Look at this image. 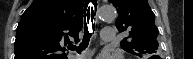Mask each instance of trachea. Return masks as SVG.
<instances>
[{"label":"trachea","mask_w":193,"mask_h":59,"mask_svg":"<svg viewBox=\"0 0 193 59\" xmlns=\"http://www.w3.org/2000/svg\"><path fill=\"white\" fill-rule=\"evenodd\" d=\"M88 3L89 2L87 1L86 5H85V11H84L85 16L87 18V22H86V18H85L83 41L81 42L79 47H76L74 45H71L68 47L70 50H76L78 53H81V51L85 50L88 47L89 40H90L91 35H92V33L89 32V28H88V24H89L90 19H91L93 30L95 28V25L93 24V19H94V14H96L97 5H96V3H93V5H94V9H93V6L88 7Z\"/></svg>","instance_id":"1"}]
</instances>
